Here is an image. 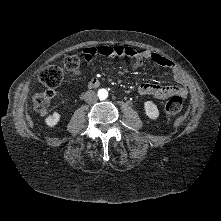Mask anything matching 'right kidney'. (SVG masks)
Masks as SVG:
<instances>
[{
    "label": "right kidney",
    "instance_id": "ca27d5eb",
    "mask_svg": "<svg viewBox=\"0 0 221 221\" xmlns=\"http://www.w3.org/2000/svg\"><path fill=\"white\" fill-rule=\"evenodd\" d=\"M61 115L58 112H54L45 119V123L49 127H54L60 121Z\"/></svg>",
    "mask_w": 221,
    "mask_h": 221
}]
</instances>
